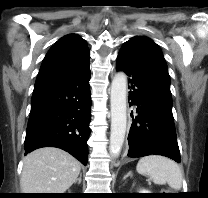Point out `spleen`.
I'll use <instances>...</instances> for the list:
<instances>
[{"instance_id":"obj_1","label":"spleen","mask_w":208,"mask_h":198,"mask_svg":"<svg viewBox=\"0 0 208 198\" xmlns=\"http://www.w3.org/2000/svg\"><path fill=\"white\" fill-rule=\"evenodd\" d=\"M138 173L150 177L159 185L168 184L174 190L182 187V171L177 163L163 156L150 155L141 158L136 166Z\"/></svg>"}]
</instances>
